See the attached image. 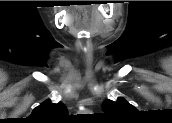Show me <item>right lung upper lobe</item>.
<instances>
[{
	"mask_svg": "<svg viewBox=\"0 0 172 123\" xmlns=\"http://www.w3.org/2000/svg\"><path fill=\"white\" fill-rule=\"evenodd\" d=\"M66 106L62 103H52L51 100H45L37 106L27 121L31 123H56L67 117Z\"/></svg>",
	"mask_w": 172,
	"mask_h": 123,
	"instance_id": "obj_1",
	"label": "right lung upper lobe"
}]
</instances>
